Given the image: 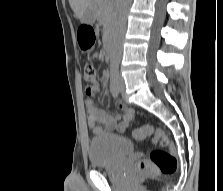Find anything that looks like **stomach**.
<instances>
[{
  "label": "stomach",
  "instance_id": "obj_1",
  "mask_svg": "<svg viewBox=\"0 0 223 191\" xmlns=\"http://www.w3.org/2000/svg\"><path fill=\"white\" fill-rule=\"evenodd\" d=\"M81 21L86 24H92L95 21V14L89 7L81 16Z\"/></svg>",
  "mask_w": 223,
  "mask_h": 191
}]
</instances>
